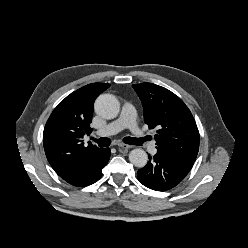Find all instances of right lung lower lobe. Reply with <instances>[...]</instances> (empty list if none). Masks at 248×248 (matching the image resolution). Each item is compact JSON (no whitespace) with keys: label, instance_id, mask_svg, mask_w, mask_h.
I'll list each match as a JSON object with an SVG mask.
<instances>
[{"label":"right lung lower lobe","instance_id":"98d812e1","mask_svg":"<svg viewBox=\"0 0 248 248\" xmlns=\"http://www.w3.org/2000/svg\"><path fill=\"white\" fill-rule=\"evenodd\" d=\"M110 158V149H99L84 163L82 168L65 181L73 186H88L98 181L102 176V169Z\"/></svg>","mask_w":248,"mask_h":248}]
</instances>
